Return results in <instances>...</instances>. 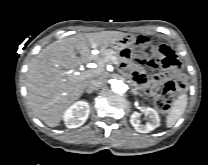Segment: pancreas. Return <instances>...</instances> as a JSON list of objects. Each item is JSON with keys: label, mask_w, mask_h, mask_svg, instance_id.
I'll return each instance as SVG.
<instances>
[{"label": "pancreas", "mask_w": 208, "mask_h": 165, "mask_svg": "<svg viewBox=\"0 0 208 165\" xmlns=\"http://www.w3.org/2000/svg\"><path fill=\"white\" fill-rule=\"evenodd\" d=\"M108 62H114L115 64L120 62L119 55L112 49L104 50L101 56L98 58V63L101 67H104Z\"/></svg>", "instance_id": "obj_1"}]
</instances>
